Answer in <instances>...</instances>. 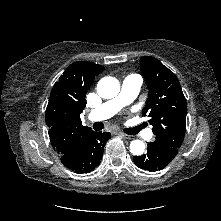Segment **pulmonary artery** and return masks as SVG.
<instances>
[{
	"mask_svg": "<svg viewBox=\"0 0 221 221\" xmlns=\"http://www.w3.org/2000/svg\"><path fill=\"white\" fill-rule=\"evenodd\" d=\"M141 85L142 79L140 76L135 74L127 76L122 83L120 93L115 98L92 110L89 115L90 119L100 121L112 117L137 97ZM147 135L151 136V133L149 132Z\"/></svg>",
	"mask_w": 221,
	"mask_h": 221,
	"instance_id": "e3ab8cb5",
	"label": "pulmonary artery"
}]
</instances>
